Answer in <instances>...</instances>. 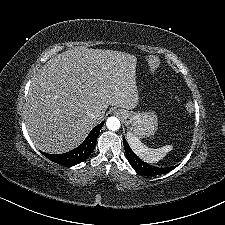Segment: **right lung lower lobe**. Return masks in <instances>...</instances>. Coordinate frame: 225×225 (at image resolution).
<instances>
[{"label": "right lung lower lobe", "mask_w": 225, "mask_h": 225, "mask_svg": "<svg viewBox=\"0 0 225 225\" xmlns=\"http://www.w3.org/2000/svg\"><path fill=\"white\" fill-rule=\"evenodd\" d=\"M103 124L104 122L94 127L87 136V138L83 141V143L72 151L56 155L47 154L44 152L41 153L51 161L61 165L73 166L79 164L86 160L93 152L94 147L96 145L97 137L100 133Z\"/></svg>", "instance_id": "right-lung-lower-lobe-1"}]
</instances>
